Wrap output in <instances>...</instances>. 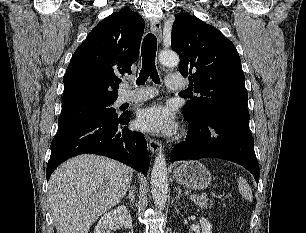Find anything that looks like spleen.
Here are the masks:
<instances>
[{"label":"spleen","mask_w":306,"mask_h":233,"mask_svg":"<svg viewBox=\"0 0 306 233\" xmlns=\"http://www.w3.org/2000/svg\"><path fill=\"white\" fill-rule=\"evenodd\" d=\"M238 189L243 198L247 199L249 202H252V191L247 181L242 177L237 179Z\"/></svg>","instance_id":"3e777b00"}]
</instances>
